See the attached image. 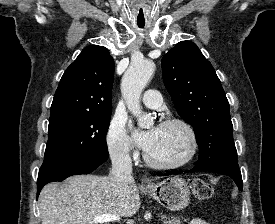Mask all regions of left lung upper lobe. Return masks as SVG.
Instances as JSON below:
<instances>
[{
    "label": "left lung upper lobe",
    "instance_id": "5c2ea615",
    "mask_svg": "<svg viewBox=\"0 0 275 224\" xmlns=\"http://www.w3.org/2000/svg\"><path fill=\"white\" fill-rule=\"evenodd\" d=\"M164 84L180 117L193 126L197 164L208 171L241 173L229 103L211 63L190 41L175 45L161 61Z\"/></svg>",
    "mask_w": 275,
    "mask_h": 224
}]
</instances>
